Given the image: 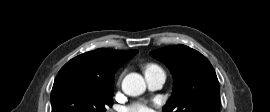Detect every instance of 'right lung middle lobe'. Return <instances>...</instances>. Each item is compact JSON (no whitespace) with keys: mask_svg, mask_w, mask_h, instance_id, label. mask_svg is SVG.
I'll return each instance as SVG.
<instances>
[{"mask_svg":"<svg viewBox=\"0 0 270 112\" xmlns=\"http://www.w3.org/2000/svg\"><path fill=\"white\" fill-rule=\"evenodd\" d=\"M113 104V83L75 76L56 78L52 92V112H105Z\"/></svg>","mask_w":270,"mask_h":112,"instance_id":"obj_1","label":"right lung middle lobe"}]
</instances>
